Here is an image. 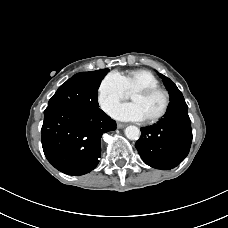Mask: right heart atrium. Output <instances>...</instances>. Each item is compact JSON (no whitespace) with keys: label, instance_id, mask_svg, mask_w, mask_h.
<instances>
[{"label":"right heart atrium","instance_id":"obj_1","mask_svg":"<svg viewBox=\"0 0 228 228\" xmlns=\"http://www.w3.org/2000/svg\"><path fill=\"white\" fill-rule=\"evenodd\" d=\"M125 97L126 90L118 73H109L100 81L97 88V102L103 112L108 113Z\"/></svg>","mask_w":228,"mask_h":228}]
</instances>
